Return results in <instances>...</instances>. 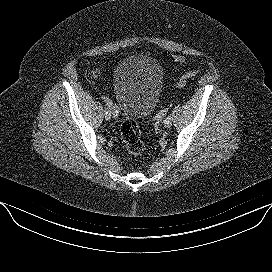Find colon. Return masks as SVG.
Masks as SVG:
<instances>
[{
  "instance_id": "5ec220e1",
  "label": "colon",
  "mask_w": 272,
  "mask_h": 272,
  "mask_svg": "<svg viewBox=\"0 0 272 272\" xmlns=\"http://www.w3.org/2000/svg\"><path fill=\"white\" fill-rule=\"evenodd\" d=\"M199 73L198 70H191L183 74L180 78L172 83V88L184 87L187 82ZM90 81L98 77V71L90 70L86 73ZM121 136L128 154L134 158L140 157L145 150V143L141 138L140 130L137 123L131 118H126L121 125Z\"/></svg>"
}]
</instances>
